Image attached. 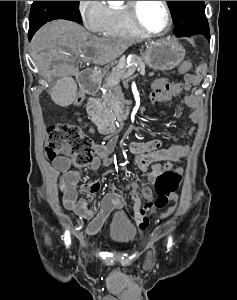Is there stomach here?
<instances>
[{
  "mask_svg": "<svg viewBox=\"0 0 237 300\" xmlns=\"http://www.w3.org/2000/svg\"><path fill=\"white\" fill-rule=\"evenodd\" d=\"M141 55L144 63L150 69L171 71V69H175L182 63L185 57V49L174 39H159V41L150 43Z\"/></svg>",
  "mask_w": 237,
  "mask_h": 300,
  "instance_id": "1",
  "label": "stomach"
}]
</instances>
